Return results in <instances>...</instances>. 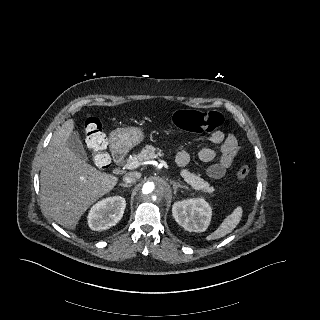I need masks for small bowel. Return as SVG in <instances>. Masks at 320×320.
<instances>
[{"label": "small bowel", "mask_w": 320, "mask_h": 320, "mask_svg": "<svg viewBox=\"0 0 320 320\" xmlns=\"http://www.w3.org/2000/svg\"><path fill=\"white\" fill-rule=\"evenodd\" d=\"M210 141L219 146V158L215 161L217 153L212 148H203L199 151L198 157L202 162L208 163L207 174L213 179L222 178L232 167L235 158L239 153V144L233 134H225L222 131H214ZM176 162L179 166H186L190 162V155L187 151H179L176 155Z\"/></svg>", "instance_id": "1"}]
</instances>
